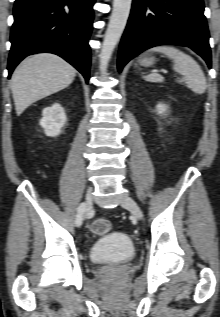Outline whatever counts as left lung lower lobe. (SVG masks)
Listing matches in <instances>:
<instances>
[{"instance_id":"obj_1","label":"left lung lower lobe","mask_w":220,"mask_h":317,"mask_svg":"<svg viewBox=\"0 0 220 317\" xmlns=\"http://www.w3.org/2000/svg\"><path fill=\"white\" fill-rule=\"evenodd\" d=\"M203 0H133L118 56V71L153 46L184 45L211 68L209 32Z\"/></svg>"}]
</instances>
